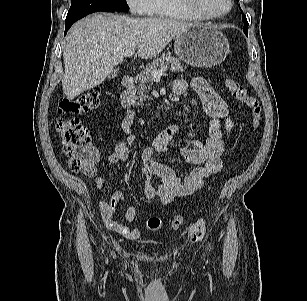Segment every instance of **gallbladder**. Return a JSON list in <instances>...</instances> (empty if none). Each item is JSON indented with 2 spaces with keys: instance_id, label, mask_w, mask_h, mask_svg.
<instances>
[{
  "instance_id": "obj_1",
  "label": "gallbladder",
  "mask_w": 307,
  "mask_h": 301,
  "mask_svg": "<svg viewBox=\"0 0 307 301\" xmlns=\"http://www.w3.org/2000/svg\"><path fill=\"white\" fill-rule=\"evenodd\" d=\"M117 76V71L116 70H114V71H112L110 74H109V78H115Z\"/></svg>"
}]
</instances>
